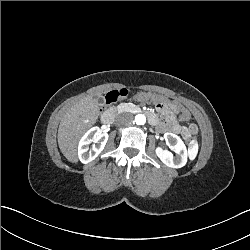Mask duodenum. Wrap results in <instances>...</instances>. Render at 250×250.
I'll return each instance as SVG.
<instances>
[{"mask_svg": "<svg viewBox=\"0 0 250 250\" xmlns=\"http://www.w3.org/2000/svg\"><path fill=\"white\" fill-rule=\"evenodd\" d=\"M112 120V112H106L102 117V122L107 125L111 124Z\"/></svg>", "mask_w": 250, "mask_h": 250, "instance_id": "duodenum-1", "label": "duodenum"}]
</instances>
